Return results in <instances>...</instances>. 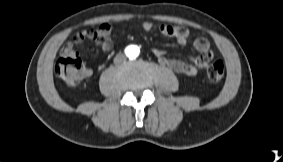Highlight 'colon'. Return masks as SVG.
I'll return each instance as SVG.
<instances>
[{
    "instance_id": "5ec220e1",
    "label": "colon",
    "mask_w": 283,
    "mask_h": 162,
    "mask_svg": "<svg viewBox=\"0 0 283 162\" xmlns=\"http://www.w3.org/2000/svg\"><path fill=\"white\" fill-rule=\"evenodd\" d=\"M54 71L56 76L70 87L81 84L89 73L83 61L78 56L60 57L55 63ZM207 76L212 83H221L224 77L222 61H213L207 69Z\"/></svg>"
}]
</instances>
